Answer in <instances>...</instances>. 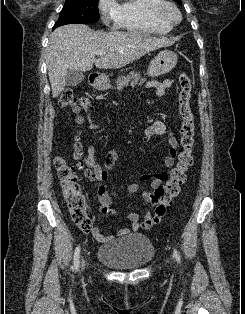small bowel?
Here are the masks:
<instances>
[{
  "mask_svg": "<svg viewBox=\"0 0 245 314\" xmlns=\"http://www.w3.org/2000/svg\"><path fill=\"white\" fill-rule=\"evenodd\" d=\"M147 88H154L156 91V97H162L166 90L172 87V81L169 79L163 80L162 82L149 81L145 85ZM81 109L85 114H87L88 119L91 121L94 106L92 102L87 98H81ZM167 136L168 140V152L165 157L163 164L166 168H172L175 164V159L178 154L179 144L175 136L167 130L165 123L161 120L154 121L149 125L144 132L143 140L149 142L154 137ZM118 159V154L116 151H109L104 160L103 166H101L96 159V149L95 146L91 145L84 152L85 163L92 171L95 173L97 179L99 180V185L97 188V197L100 202V213L105 217H115L117 215L116 210L111 208V198L106 196L105 193L108 191L106 187V182L110 178V170L114 167ZM169 174L162 170L154 175H142L140 179L142 181H149L150 188L155 189L161 183L167 181ZM126 190L129 194L148 192V188L140 185L139 183H130L126 186ZM166 212V211H165ZM164 213H154L146 212L144 214V220L138 222L140 215L137 212H130L127 214V219L131 222V225L127 228H122L118 230L113 235H108L102 232L99 228H93L90 234L97 241L102 243H111L117 237L127 235L129 233L138 232L139 230H148L154 225L160 223Z\"/></svg>",
  "mask_w": 245,
  "mask_h": 314,
  "instance_id": "c3829d8e",
  "label": "small bowel"
}]
</instances>
